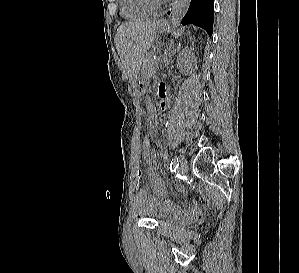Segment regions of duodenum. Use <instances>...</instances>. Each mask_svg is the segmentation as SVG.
Returning a JSON list of instances; mask_svg holds the SVG:
<instances>
[{
  "label": "duodenum",
  "instance_id": "410a0bca",
  "mask_svg": "<svg viewBox=\"0 0 299 273\" xmlns=\"http://www.w3.org/2000/svg\"><path fill=\"white\" fill-rule=\"evenodd\" d=\"M165 106H166V102L164 100L160 101L159 106H158L159 109H164Z\"/></svg>",
  "mask_w": 299,
  "mask_h": 273
}]
</instances>
